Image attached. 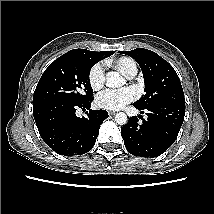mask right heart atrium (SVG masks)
Listing matches in <instances>:
<instances>
[{
  "label": "right heart atrium",
  "mask_w": 214,
  "mask_h": 214,
  "mask_svg": "<svg viewBox=\"0 0 214 214\" xmlns=\"http://www.w3.org/2000/svg\"><path fill=\"white\" fill-rule=\"evenodd\" d=\"M88 80L91 88L100 90L105 83V65L102 62L95 63L89 70Z\"/></svg>",
  "instance_id": "right-heart-atrium-1"
}]
</instances>
